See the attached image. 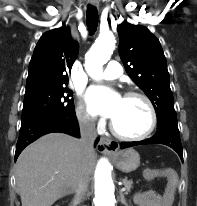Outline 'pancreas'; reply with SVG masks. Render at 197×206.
Returning a JSON list of instances; mask_svg holds the SVG:
<instances>
[{"label":"pancreas","instance_id":"1","mask_svg":"<svg viewBox=\"0 0 197 206\" xmlns=\"http://www.w3.org/2000/svg\"><path fill=\"white\" fill-rule=\"evenodd\" d=\"M123 185L125 187L126 190V194L130 192L132 185H133V181L132 180H128L127 178L122 179Z\"/></svg>","mask_w":197,"mask_h":206}]
</instances>
